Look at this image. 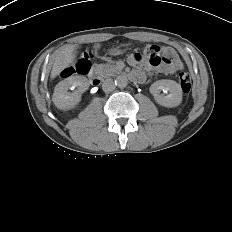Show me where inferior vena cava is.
Listing matches in <instances>:
<instances>
[{
    "instance_id": "obj_1",
    "label": "inferior vena cava",
    "mask_w": 232,
    "mask_h": 232,
    "mask_svg": "<svg viewBox=\"0 0 232 232\" xmlns=\"http://www.w3.org/2000/svg\"><path fill=\"white\" fill-rule=\"evenodd\" d=\"M102 89L106 93L113 91L115 89V84L113 79H106L102 84Z\"/></svg>"
}]
</instances>
